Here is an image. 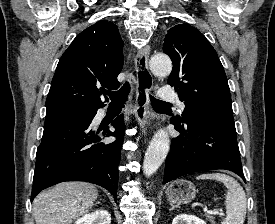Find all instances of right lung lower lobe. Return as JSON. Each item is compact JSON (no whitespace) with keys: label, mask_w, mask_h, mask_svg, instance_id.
<instances>
[{"label":"right lung lower lobe","mask_w":275,"mask_h":224,"mask_svg":"<svg viewBox=\"0 0 275 224\" xmlns=\"http://www.w3.org/2000/svg\"><path fill=\"white\" fill-rule=\"evenodd\" d=\"M97 109L87 117L63 116L45 120L42 142L36 154L31 201L43 189L65 181L97 184L110 191L117 201L124 115L112 122L114 132L107 128L101 133L91 127ZM109 136L116 140L112 143L101 141Z\"/></svg>","instance_id":"1"}]
</instances>
